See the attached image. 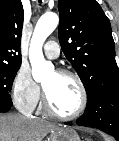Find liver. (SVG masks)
I'll list each match as a JSON object with an SVG mask.
<instances>
[{"instance_id":"obj_1","label":"liver","mask_w":119,"mask_h":141,"mask_svg":"<svg viewBox=\"0 0 119 141\" xmlns=\"http://www.w3.org/2000/svg\"><path fill=\"white\" fill-rule=\"evenodd\" d=\"M58 127L42 119L22 115H0V141H42Z\"/></svg>"}]
</instances>
